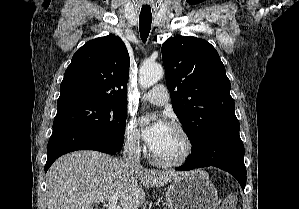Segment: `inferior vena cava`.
Here are the masks:
<instances>
[{
	"instance_id": "602c4592",
	"label": "inferior vena cava",
	"mask_w": 299,
	"mask_h": 209,
	"mask_svg": "<svg viewBox=\"0 0 299 209\" xmlns=\"http://www.w3.org/2000/svg\"><path fill=\"white\" fill-rule=\"evenodd\" d=\"M140 147H139V142L134 139L130 138L125 142L124 145V152H123V160L126 162L128 165L135 167V168H140Z\"/></svg>"
}]
</instances>
